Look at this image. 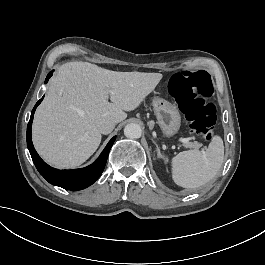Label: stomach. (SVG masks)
I'll return each mask as SVG.
<instances>
[{
	"label": "stomach",
	"mask_w": 265,
	"mask_h": 265,
	"mask_svg": "<svg viewBox=\"0 0 265 265\" xmlns=\"http://www.w3.org/2000/svg\"><path fill=\"white\" fill-rule=\"evenodd\" d=\"M152 105L163 134L167 137L176 134L181 124V116L177 107L157 96L153 98Z\"/></svg>",
	"instance_id": "0dacf381"
}]
</instances>
